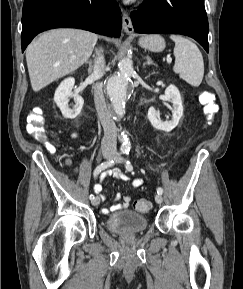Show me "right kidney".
Segmentation results:
<instances>
[{
    "label": "right kidney",
    "instance_id": "1",
    "mask_svg": "<svg viewBox=\"0 0 243 289\" xmlns=\"http://www.w3.org/2000/svg\"><path fill=\"white\" fill-rule=\"evenodd\" d=\"M74 84L75 79L73 77H69L60 83L54 94L55 103L59 107L62 115L67 119L76 118L80 114L84 104L83 98L72 92ZM69 97L74 98L75 105L73 108L69 107Z\"/></svg>",
    "mask_w": 243,
    "mask_h": 289
}]
</instances>
